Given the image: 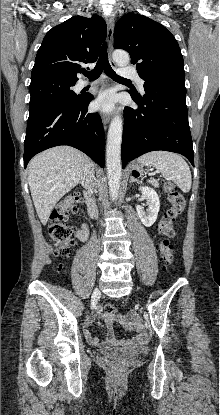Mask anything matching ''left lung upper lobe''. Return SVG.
<instances>
[{"instance_id": "1", "label": "left lung upper lobe", "mask_w": 220, "mask_h": 415, "mask_svg": "<svg viewBox=\"0 0 220 415\" xmlns=\"http://www.w3.org/2000/svg\"><path fill=\"white\" fill-rule=\"evenodd\" d=\"M114 48L127 50L145 81L185 80L184 61L174 36L160 23L126 14L115 25Z\"/></svg>"}]
</instances>
